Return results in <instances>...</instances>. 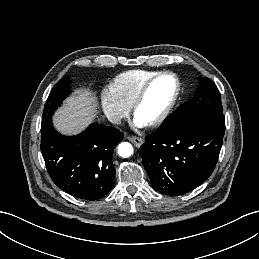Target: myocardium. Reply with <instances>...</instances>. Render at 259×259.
I'll list each match as a JSON object with an SVG mask.
<instances>
[{
    "label": "myocardium",
    "instance_id": "obj_1",
    "mask_svg": "<svg viewBox=\"0 0 259 259\" xmlns=\"http://www.w3.org/2000/svg\"><path fill=\"white\" fill-rule=\"evenodd\" d=\"M162 77H171L173 78L174 82H175V92L174 95L171 99V101L169 102V104L167 105V107L165 108V110L162 112V114L157 117L156 119H154L153 121L149 122L148 124H146L148 127H156L161 125L170 115V113L172 112L173 108L175 107L179 95H180V91H181V84H180V80L178 78V76L171 72V71H161L156 73L154 76H152L151 78H149L140 88V90L138 91L132 106H131V111L134 117H136V112L137 109L139 108V106L141 105V103L143 102L150 86L159 78Z\"/></svg>",
    "mask_w": 259,
    "mask_h": 259
}]
</instances>
